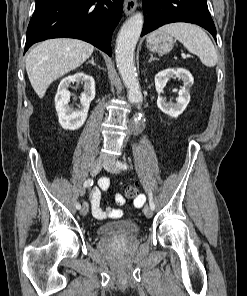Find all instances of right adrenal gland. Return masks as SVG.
I'll list each match as a JSON object with an SVG mask.
<instances>
[{"label":"right adrenal gland","instance_id":"1","mask_svg":"<svg viewBox=\"0 0 247 296\" xmlns=\"http://www.w3.org/2000/svg\"><path fill=\"white\" fill-rule=\"evenodd\" d=\"M88 63H91L93 66H96V64L94 63V57H92L91 60L88 61Z\"/></svg>","mask_w":247,"mask_h":296}]
</instances>
